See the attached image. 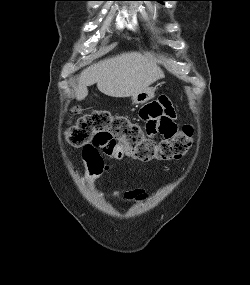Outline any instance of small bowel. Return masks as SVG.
I'll return each instance as SVG.
<instances>
[{
    "label": "small bowel",
    "mask_w": 250,
    "mask_h": 285,
    "mask_svg": "<svg viewBox=\"0 0 250 285\" xmlns=\"http://www.w3.org/2000/svg\"><path fill=\"white\" fill-rule=\"evenodd\" d=\"M140 118L144 121L142 133L144 136H158V141H163V136H175L177 128L175 125V111L167 98H160L157 101L146 104L140 110ZM124 155L122 149L120 153H115L114 158H121ZM83 160L88 169V177L94 180L108 166L104 163L99 152L95 148L83 149ZM115 197H119L120 193L115 192ZM126 200H143L146 198L143 189H134L124 194Z\"/></svg>",
    "instance_id": "c3829d8e"
}]
</instances>
